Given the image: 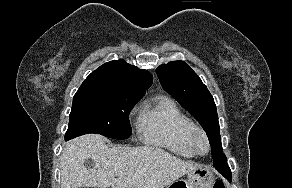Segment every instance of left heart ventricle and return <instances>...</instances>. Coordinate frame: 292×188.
Instances as JSON below:
<instances>
[{"label": "left heart ventricle", "mask_w": 292, "mask_h": 188, "mask_svg": "<svg viewBox=\"0 0 292 188\" xmlns=\"http://www.w3.org/2000/svg\"><path fill=\"white\" fill-rule=\"evenodd\" d=\"M197 144H198L200 150H202V151H205L206 150V143H205V141L201 137H199L197 139Z\"/></svg>", "instance_id": "b2bd125f"}]
</instances>
